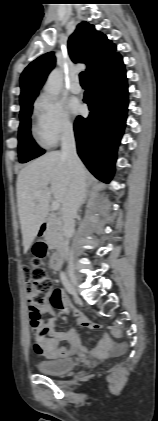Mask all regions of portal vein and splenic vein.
I'll return each instance as SVG.
<instances>
[{
  "label": "portal vein and splenic vein",
  "instance_id": "obj_1",
  "mask_svg": "<svg viewBox=\"0 0 158 421\" xmlns=\"http://www.w3.org/2000/svg\"><path fill=\"white\" fill-rule=\"evenodd\" d=\"M42 193H43V191H39L36 196L39 197ZM59 208H60V202L53 201L52 202V209L53 210H58Z\"/></svg>",
  "mask_w": 158,
  "mask_h": 421
}]
</instances>
